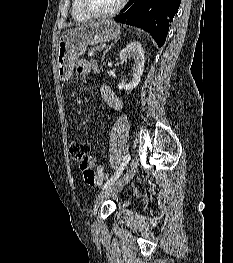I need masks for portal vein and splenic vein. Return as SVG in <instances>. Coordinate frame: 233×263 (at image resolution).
Here are the masks:
<instances>
[{"label": "portal vein and splenic vein", "instance_id": "portal-vein-and-splenic-vein-1", "mask_svg": "<svg viewBox=\"0 0 233 263\" xmlns=\"http://www.w3.org/2000/svg\"><path fill=\"white\" fill-rule=\"evenodd\" d=\"M88 55H89V56H93V55H94V52H89Z\"/></svg>", "mask_w": 233, "mask_h": 263}]
</instances>
